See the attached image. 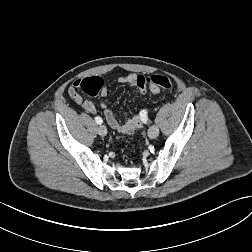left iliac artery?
<instances>
[{
  "mask_svg": "<svg viewBox=\"0 0 252 252\" xmlns=\"http://www.w3.org/2000/svg\"><path fill=\"white\" fill-rule=\"evenodd\" d=\"M139 118H140V120H141L142 125H144V126L150 125L151 120H150V118H149L148 113H147L145 110H142V111L140 112Z\"/></svg>",
  "mask_w": 252,
  "mask_h": 252,
  "instance_id": "44dca946",
  "label": "left iliac artery"
}]
</instances>
